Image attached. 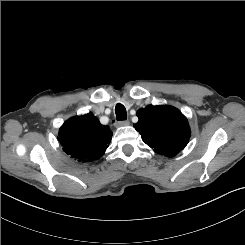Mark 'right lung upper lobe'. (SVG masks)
<instances>
[{
    "instance_id": "1",
    "label": "right lung upper lobe",
    "mask_w": 245,
    "mask_h": 245,
    "mask_svg": "<svg viewBox=\"0 0 245 245\" xmlns=\"http://www.w3.org/2000/svg\"><path fill=\"white\" fill-rule=\"evenodd\" d=\"M112 131L88 113L68 119L60 128L58 140L63 150L79 162L100 158L108 148Z\"/></svg>"
}]
</instances>
